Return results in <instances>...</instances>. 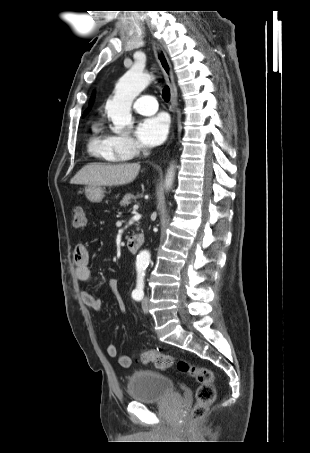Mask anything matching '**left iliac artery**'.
Wrapping results in <instances>:
<instances>
[{
	"label": "left iliac artery",
	"mask_w": 310,
	"mask_h": 453,
	"mask_svg": "<svg viewBox=\"0 0 310 453\" xmlns=\"http://www.w3.org/2000/svg\"><path fill=\"white\" fill-rule=\"evenodd\" d=\"M144 273H139L137 276V286L136 289L132 292V297L140 301L144 296Z\"/></svg>",
	"instance_id": "obj_1"
}]
</instances>
